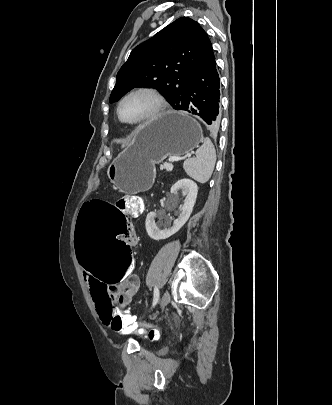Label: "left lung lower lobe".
I'll use <instances>...</instances> for the list:
<instances>
[{
  "instance_id": "1",
  "label": "left lung lower lobe",
  "mask_w": 332,
  "mask_h": 405,
  "mask_svg": "<svg viewBox=\"0 0 332 405\" xmlns=\"http://www.w3.org/2000/svg\"><path fill=\"white\" fill-rule=\"evenodd\" d=\"M174 109L195 114L213 131L218 130L221 120L220 79L213 50L193 74L185 97Z\"/></svg>"
}]
</instances>
